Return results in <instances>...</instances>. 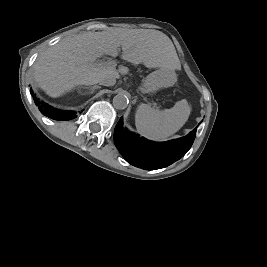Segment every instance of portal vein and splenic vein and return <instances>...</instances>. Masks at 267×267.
I'll return each instance as SVG.
<instances>
[{"instance_id": "portal-vein-and-splenic-vein-1", "label": "portal vein and splenic vein", "mask_w": 267, "mask_h": 267, "mask_svg": "<svg viewBox=\"0 0 267 267\" xmlns=\"http://www.w3.org/2000/svg\"><path fill=\"white\" fill-rule=\"evenodd\" d=\"M107 62H101L100 64H106ZM108 64L114 66V63L109 62Z\"/></svg>"}]
</instances>
